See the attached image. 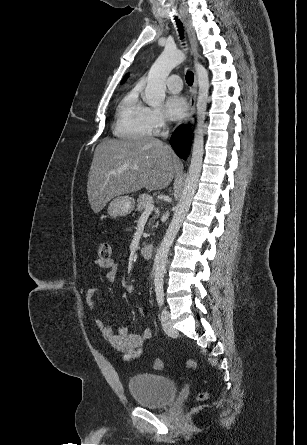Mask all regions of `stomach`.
<instances>
[{
    "instance_id": "stomach-1",
    "label": "stomach",
    "mask_w": 307,
    "mask_h": 445,
    "mask_svg": "<svg viewBox=\"0 0 307 445\" xmlns=\"http://www.w3.org/2000/svg\"><path fill=\"white\" fill-rule=\"evenodd\" d=\"M135 200L133 196H115L108 204L107 212L111 218L126 216L134 210Z\"/></svg>"
}]
</instances>
